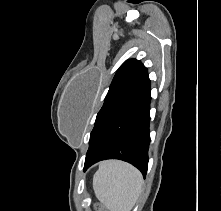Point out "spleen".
<instances>
[{"label": "spleen", "instance_id": "3e777b00", "mask_svg": "<svg viewBox=\"0 0 221 211\" xmlns=\"http://www.w3.org/2000/svg\"><path fill=\"white\" fill-rule=\"evenodd\" d=\"M98 200L110 211H131L143 190L141 173L132 165L104 161L93 177Z\"/></svg>", "mask_w": 221, "mask_h": 211}]
</instances>
